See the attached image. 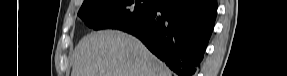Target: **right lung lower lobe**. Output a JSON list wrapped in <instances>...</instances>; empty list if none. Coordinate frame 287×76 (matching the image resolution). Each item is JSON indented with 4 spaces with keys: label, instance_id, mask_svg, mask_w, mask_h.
I'll return each mask as SVG.
<instances>
[{
    "label": "right lung lower lobe",
    "instance_id": "right-lung-lower-lobe-1",
    "mask_svg": "<svg viewBox=\"0 0 287 76\" xmlns=\"http://www.w3.org/2000/svg\"><path fill=\"white\" fill-rule=\"evenodd\" d=\"M216 13V0H156L147 18L122 30L139 38L179 76H194Z\"/></svg>",
    "mask_w": 287,
    "mask_h": 76
}]
</instances>
